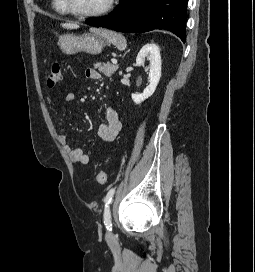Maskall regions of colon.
<instances>
[{
	"instance_id": "1",
	"label": "colon",
	"mask_w": 255,
	"mask_h": 272,
	"mask_svg": "<svg viewBox=\"0 0 255 272\" xmlns=\"http://www.w3.org/2000/svg\"><path fill=\"white\" fill-rule=\"evenodd\" d=\"M62 82L61 66L58 63H54L50 66L46 84L49 88H54L60 85ZM107 173L100 171L96 175V182L99 184H105L107 182Z\"/></svg>"
}]
</instances>
